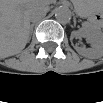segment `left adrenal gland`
Here are the masks:
<instances>
[{
	"instance_id": "a2214340",
	"label": "left adrenal gland",
	"mask_w": 103,
	"mask_h": 103,
	"mask_svg": "<svg viewBox=\"0 0 103 103\" xmlns=\"http://www.w3.org/2000/svg\"><path fill=\"white\" fill-rule=\"evenodd\" d=\"M74 27H76V20H74Z\"/></svg>"
}]
</instances>
